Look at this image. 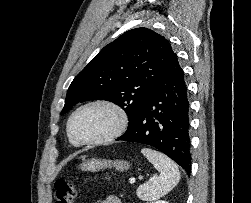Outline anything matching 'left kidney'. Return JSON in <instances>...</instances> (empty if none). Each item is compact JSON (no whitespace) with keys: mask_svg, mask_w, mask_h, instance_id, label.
I'll return each mask as SVG.
<instances>
[{"mask_svg":"<svg viewBox=\"0 0 251 203\" xmlns=\"http://www.w3.org/2000/svg\"><path fill=\"white\" fill-rule=\"evenodd\" d=\"M153 203H168L167 201H163V200H159V201H156V202H153Z\"/></svg>","mask_w":251,"mask_h":203,"instance_id":"5707ae66","label":"left kidney"}]
</instances>
